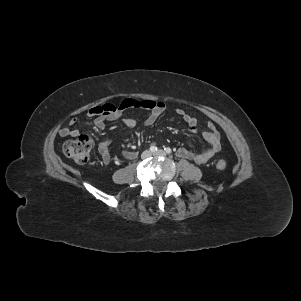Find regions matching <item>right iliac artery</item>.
<instances>
[{"label": "right iliac artery", "instance_id": "1", "mask_svg": "<svg viewBox=\"0 0 301 301\" xmlns=\"http://www.w3.org/2000/svg\"><path fill=\"white\" fill-rule=\"evenodd\" d=\"M150 151L153 152V153L156 152L157 151V147L156 146H151L150 147Z\"/></svg>", "mask_w": 301, "mask_h": 301}]
</instances>
